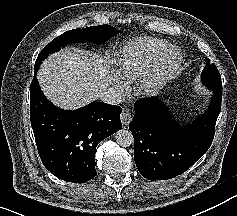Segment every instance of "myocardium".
Masks as SVG:
<instances>
[{
	"instance_id": "myocardium-1",
	"label": "myocardium",
	"mask_w": 237,
	"mask_h": 216,
	"mask_svg": "<svg viewBox=\"0 0 237 216\" xmlns=\"http://www.w3.org/2000/svg\"><path fill=\"white\" fill-rule=\"evenodd\" d=\"M170 52L175 53V67L169 73H162V71L164 70V62ZM183 64L184 52L182 48L176 44H169L162 50L156 64L150 70L146 71L140 82L134 88L132 95L150 96L157 94L158 92H160L161 89H163L167 85H170L178 78L182 70Z\"/></svg>"
}]
</instances>
